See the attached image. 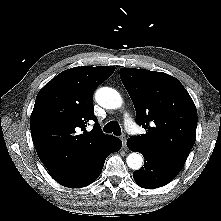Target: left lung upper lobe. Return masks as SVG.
<instances>
[{"instance_id":"left-lung-upper-lobe-1","label":"left lung upper lobe","mask_w":221,"mask_h":221,"mask_svg":"<svg viewBox=\"0 0 221 221\" xmlns=\"http://www.w3.org/2000/svg\"><path fill=\"white\" fill-rule=\"evenodd\" d=\"M120 78L146 134L129 139L164 161L182 168L196 136L197 111L190 95L174 77L145 69L122 68Z\"/></svg>"}]
</instances>
